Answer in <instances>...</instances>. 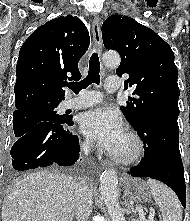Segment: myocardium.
I'll use <instances>...</instances> for the list:
<instances>
[{"mask_svg":"<svg viewBox=\"0 0 190 221\" xmlns=\"http://www.w3.org/2000/svg\"><path fill=\"white\" fill-rule=\"evenodd\" d=\"M125 133L129 136L134 144L132 154L128 156H120L112 151H109L108 154L113 161L123 165H130L140 160L144 152V145L141 137L134 130L126 129Z\"/></svg>","mask_w":190,"mask_h":221,"instance_id":"f54148a6","label":"myocardium"}]
</instances>
